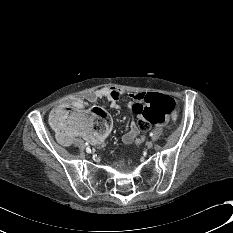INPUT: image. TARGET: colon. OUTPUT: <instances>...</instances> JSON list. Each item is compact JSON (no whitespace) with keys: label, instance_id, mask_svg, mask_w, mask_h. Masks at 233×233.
I'll return each mask as SVG.
<instances>
[{"label":"colon","instance_id":"5ec220e1","mask_svg":"<svg viewBox=\"0 0 233 233\" xmlns=\"http://www.w3.org/2000/svg\"><path fill=\"white\" fill-rule=\"evenodd\" d=\"M174 100L164 94L142 92L131 98L127 103V111L133 117H140L138 128L145 132L153 125H163L168 121L176 120L174 112ZM72 113L68 105L57 108V112L50 117L51 124L58 133H65L68 130L66 119ZM95 120H98L97 123ZM111 116L102 108H95L92 111H85L74 117V126L85 130L89 135L101 132L105 125L111 122ZM144 137L137 141L142 142Z\"/></svg>","mask_w":233,"mask_h":233}]
</instances>
